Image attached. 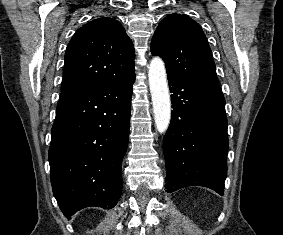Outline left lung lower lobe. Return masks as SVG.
<instances>
[{"label":"left lung lower lobe","mask_w":283,"mask_h":235,"mask_svg":"<svg viewBox=\"0 0 283 235\" xmlns=\"http://www.w3.org/2000/svg\"><path fill=\"white\" fill-rule=\"evenodd\" d=\"M167 76L173 111L163 140L166 191L197 185L223 195L228 137L222 90Z\"/></svg>","instance_id":"0a47b994"}]
</instances>
